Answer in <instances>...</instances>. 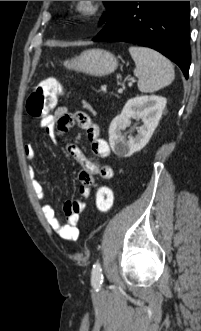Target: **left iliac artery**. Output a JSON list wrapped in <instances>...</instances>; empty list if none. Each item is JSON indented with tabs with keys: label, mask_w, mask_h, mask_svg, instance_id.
Returning <instances> with one entry per match:
<instances>
[{
	"label": "left iliac artery",
	"mask_w": 201,
	"mask_h": 331,
	"mask_svg": "<svg viewBox=\"0 0 201 331\" xmlns=\"http://www.w3.org/2000/svg\"><path fill=\"white\" fill-rule=\"evenodd\" d=\"M91 282H92V286L95 289H99L102 285L103 275H102V268L99 262H96L93 265Z\"/></svg>",
	"instance_id": "44dca946"
}]
</instances>
